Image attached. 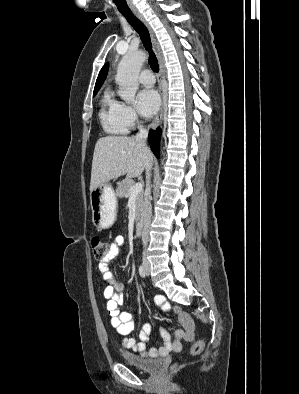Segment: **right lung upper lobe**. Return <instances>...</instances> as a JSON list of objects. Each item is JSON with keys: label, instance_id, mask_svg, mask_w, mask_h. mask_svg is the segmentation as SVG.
<instances>
[{"label": "right lung upper lobe", "instance_id": "obj_1", "mask_svg": "<svg viewBox=\"0 0 299 394\" xmlns=\"http://www.w3.org/2000/svg\"><path fill=\"white\" fill-rule=\"evenodd\" d=\"M108 63L105 64L103 66V68L100 70L98 78L96 80V84H95V88H94V94H96L98 92V90L100 89V87L102 86L106 76H107V72H108Z\"/></svg>", "mask_w": 299, "mask_h": 394}]
</instances>
